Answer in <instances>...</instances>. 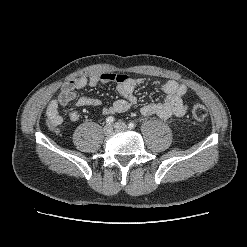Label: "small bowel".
Here are the masks:
<instances>
[{
  "label": "small bowel",
  "mask_w": 247,
  "mask_h": 247,
  "mask_svg": "<svg viewBox=\"0 0 247 247\" xmlns=\"http://www.w3.org/2000/svg\"><path fill=\"white\" fill-rule=\"evenodd\" d=\"M111 82L117 84V89L121 97L115 100L111 105L103 107L102 113L104 115H113L128 111L129 108L136 103L135 90L142 85L159 87L165 94L163 102L149 103L141 108V113L144 116H158L162 119H167L172 116H183L187 111V105L183 101V96L187 92V86L184 84L174 80L160 81L158 79L145 77H130L122 73L105 72L91 77H79L65 84L57 96L54 97L47 106L46 115L49 126L53 130H58L63 122L59 109L67 106L74 100H76L78 107L100 106L101 101L97 98H77V91L86 86L95 87ZM79 118L80 115L77 111H71L69 113L70 121L77 122Z\"/></svg>",
  "instance_id": "c3829d8e"
}]
</instances>
